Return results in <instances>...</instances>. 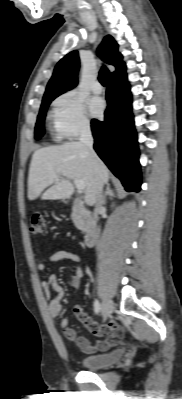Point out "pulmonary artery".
<instances>
[{
	"instance_id": "e3ab8cb5",
	"label": "pulmonary artery",
	"mask_w": 182,
	"mask_h": 399,
	"mask_svg": "<svg viewBox=\"0 0 182 399\" xmlns=\"http://www.w3.org/2000/svg\"><path fill=\"white\" fill-rule=\"evenodd\" d=\"M91 88H92L93 93H95V94H100L103 91V87L98 81L94 82L92 84Z\"/></svg>"
}]
</instances>
